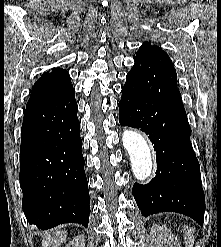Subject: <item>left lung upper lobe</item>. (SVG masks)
Returning <instances> with one entry per match:
<instances>
[{"label": "left lung upper lobe", "mask_w": 221, "mask_h": 247, "mask_svg": "<svg viewBox=\"0 0 221 247\" xmlns=\"http://www.w3.org/2000/svg\"><path fill=\"white\" fill-rule=\"evenodd\" d=\"M135 64L127 74L138 94L184 110L177 89V75L171 59L160 47L144 42L133 56Z\"/></svg>", "instance_id": "left-lung-upper-lobe-1"}]
</instances>
